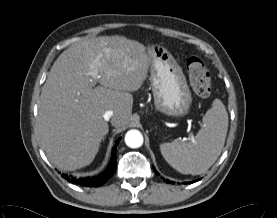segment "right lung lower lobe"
I'll use <instances>...</instances> for the list:
<instances>
[{"label": "right lung lower lobe", "mask_w": 277, "mask_h": 218, "mask_svg": "<svg viewBox=\"0 0 277 218\" xmlns=\"http://www.w3.org/2000/svg\"><path fill=\"white\" fill-rule=\"evenodd\" d=\"M120 141V138L116 141L115 145L112 148V156L110 163L107 167V169L99 174L98 176L94 177H88V178H79L75 179L73 177H68L66 174H62V177L66 178L69 182L79 184L81 186H86V187H98L103 185L114 173L117 162H116V148L117 145Z\"/></svg>", "instance_id": "98d812e1"}]
</instances>
